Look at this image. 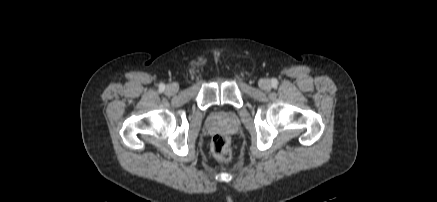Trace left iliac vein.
<instances>
[{
    "label": "left iliac vein",
    "mask_w": 437,
    "mask_h": 202,
    "mask_svg": "<svg viewBox=\"0 0 437 202\" xmlns=\"http://www.w3.org/2000/svg\"><path fill=\"white\" fill-rule=\"evenodd\" d=\"M259 86L263 90H270L271 82L268 79H263L259 82Z\"/></svg>",
    "instance_id": "1"
}]
</instances>
